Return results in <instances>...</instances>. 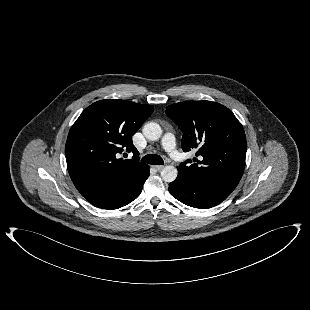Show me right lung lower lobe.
Segmentation results:
<instances>
[{
  "label": "right lung lower lobe",
  "instance_id": "1",
  "mask_svg": "<svg viewBox=\"0 0 310 310\" xmlns=\"http://www.w3.org/2000/svg\"><path fill=\"white\" fill-rule=\"evenodd\" d=\"M148 176H149V169L144 174L139 184L134 189L130 190L127 193L114 195L106 198L94 199L89 202L92 203L94 206L103 209H117L123 207L132 202L133 200H135L140 195L143 188V184L148 178Z\"/></svg>",
  "mask_w": 310,
  "mask_h": 310
}]
</instances>
